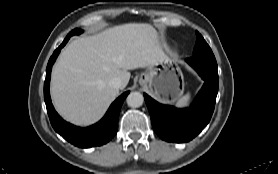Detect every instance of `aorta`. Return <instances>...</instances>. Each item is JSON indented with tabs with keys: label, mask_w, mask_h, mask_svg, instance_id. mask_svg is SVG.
Instances as JSON below:
<instances>
[{
	"label": "aorta",
	"mask_w": 278,
	"mask_h": 174,
	"mask_svg": "<svg viewBox=\"0 0 278 174\" xmlns=\"http://www.w3.org/2000/svg\"><path fill=\"white\" fill-rule=\"evenodd\" d=\"M127 104L128 106L132 107V108H138L140 106H142L143 102H144V97L140 92H131L128 96H127Z\"/></svg>",
	"instance_id": "762f6f07"
}]
</instances>
